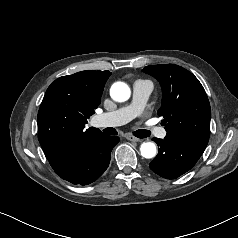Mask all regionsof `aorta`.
Masks as SVG:
<instances>
[{
    "mask_svg": "<svg viewBox=\"0 0 238 238\" xmlns=\"http://www.w3.org/2000/svg\"><path fill=\"white\" fill-rule=\"evenodd\" d=\"M131 91L129 86L124 82H115L110 89V96L114 101L124 102L129 99ZM142 157L150 159L156 156L157 149L153 142H144L140 146Z\"/></svg>",
    "mask_w": 238,
    "mask_h": 238,
    "instance_id": "1",
    "label": "aorta"
}]
</instances>
